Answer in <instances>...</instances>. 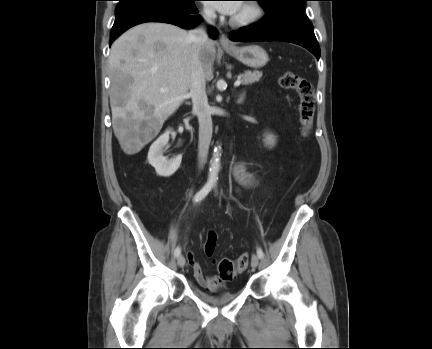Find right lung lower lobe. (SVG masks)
Wrapping results in <instances>:
<instances>
[{"label": "right lung lower lobe", "instance_id": "obj_1", "mask_svg": "<svg viewBox=\"0 0 432 349\" xmlns=\"http://www.w3.org/2000/svg\"><path fill=\"white\" fill-rule=\"evenodd\" d=\"M194 1L182 0H132L120 4L116 10L115 21L111 30L109 46L127 29L145 22H164L182 28H193L199 21ZM210 35L217 37V31L210 29Z\"/></svg>", "mask_w": 432, "mask_h": 349}]
</instances>
